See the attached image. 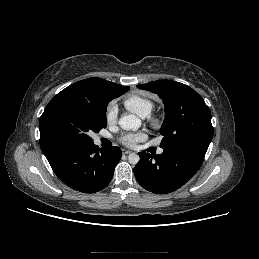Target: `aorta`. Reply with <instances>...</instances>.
Wrapping results in <instances>:
<instances>
[{
	"mask_svg": "<svg viewBox=\"0 0 259 259\" xmlns=\"http://www.w3.org/2000/svg\"><path fill=\"white\" fill-rule=\"evenodd\" d=\"M119 125L124 130L136 131L141 126V120L134 114H126L119 119ZM139 160L140 157L136 153H130L128 156V161L132 165H136L139 162Z\"/></svg>",
	"mask_w": 259,
	"mask_h": 259,
	"instance_id": "1",
	"label": "aorta"
}]
</instances>
